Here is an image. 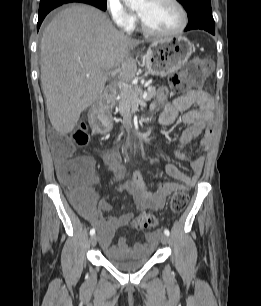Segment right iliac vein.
<instances>
[{"instance_id": "obj_1", "label": "right iliac vein", "mask_w": 261, "mask_h": 306, "mask_svg": "<svg viewBox=\"0 0 261 306\" xmlns=\"http://www.w3.org/2000/svg\"><path fill=\"white\" fill-rule=\"evenodd\" d=\"M97 239H98L97 235H92V236H91V238H90V243H91L92 246H95V245H96Z\"/></svg>"}]
</instances>
